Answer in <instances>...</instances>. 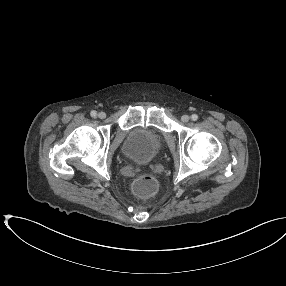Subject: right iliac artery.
Instances as JSON below:
<instances>
[{
    "label": "right iliac artery",
    "instance_id": "obj_1",
    "mask_svg": "<svg viewBox=\"0 0 286 286\" xmlns=\"http://www.w3.org/2000/svg\"><path fill=\"white\" fill-rule=\"evenodd\" d=\"M90 115H91L92 117H96L97 113H96V111H91Z\"/></svg>",
    "mask_w": 286,
    "mask_h": 286
}]
</instances>
